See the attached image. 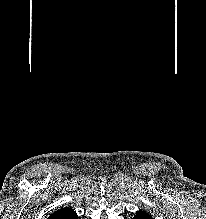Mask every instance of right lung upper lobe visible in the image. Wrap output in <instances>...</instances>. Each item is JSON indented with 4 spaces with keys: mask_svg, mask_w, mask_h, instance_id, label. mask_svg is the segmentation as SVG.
Listing matches in <instances>:
<instances>
[{
    "mask_svg": "<svg viewBox=\"0 0 206 219\" xmlns=\"http://www.w3.org/2000/svg\"><path fill=\"white\" fill-rule=\"evenodd\" d=\"M48 219H78L76 212L70 207L61 208L51 214Z\"/></svg>",
    "mask_w": 206,
    "mask_h": 219,
    "instance_id": "cb5924a9",
    "label": "right lung upper lobe"
}]
</instances>
